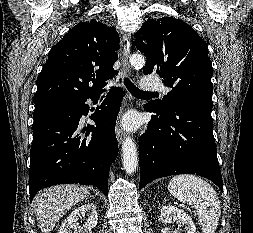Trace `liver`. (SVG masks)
<instances>
[{
	"label": "liver",
	"mask_w": 253,
	"mask_h": 233,
	"mask_svg": "<svg viewBox=\"0 0 253 233\" xmlns=\"http://www.w3.org/2000/svg\"><path fill=\"white\" fill-rule=\"evenodd\" d=\"M88 196V188L77 185L54 186L38 193L33 206L42 233H51L59 219Z\"/></svg>",
	"instance_id": "1"
}]
</instances>
